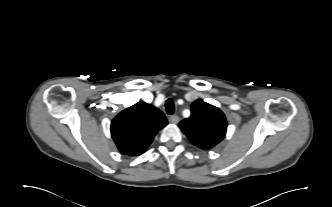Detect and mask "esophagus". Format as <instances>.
<instances>
[{
    "label": "esophagus",
    "instance_id": "esophagus-1",
    "mask_svg": "<svg viewBox=\"0 0 332 207\" xmlns=\"http://www.w3.org/2000/svg\"><path fill=\"white\" fill-rule=\"evenodd\" d=\"M169 122H171L173 124H177L179 122V117L177 115H171L169 117Z\"/></svg>",
    "mask_w": 332,
    "mask_h": 207
}]
</instances>
